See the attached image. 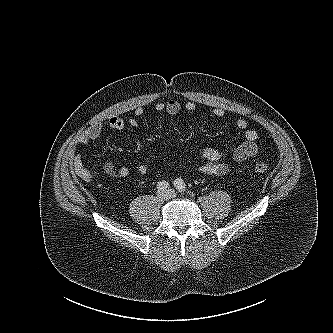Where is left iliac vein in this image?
Instances as JSON below:
<instances>
[{"instance_id": "obj_1", "label": "left iliac vein", "mask_w": 333, "mask_h": 333, "mask_svg": "<svg viewBox=\"0 0 333 333\" xmlns=\"http://www.w3.org/2000/svg\"><path fill=\"white\" fill-rule=\"evenodd\" d=\"M169 197H175L176 194L174 193V191H172L171 189L167 190Z\"/></svg>"}]
</instances>
